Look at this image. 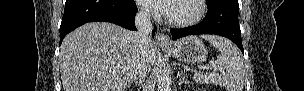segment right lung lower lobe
I'll return each instance as SVG.
<instances>
[{
  "label": "right lung lower lobe",
  "mask_w": 304,
  "mask_h": 91,
  "mask_svg": "<svg viewBox=\"0 0 304 91\" xmlns=\"http://www.w3.org/2000/svg\"><path fill=\"white\" fill-rule=\"evenodd\" d=\"M137 11L134 0H66L60 43L66 34L87 22L106 21L136 30L134 19Z\"/></svg>",
  "instance_id": "right-lung-lower-lobe-1"
}]
</instances>
